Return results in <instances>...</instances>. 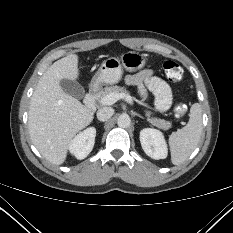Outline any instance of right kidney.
<instances>
[{
	"mask_svg": "<svg viewBox=\"0 0 233 233\" xmlns=\"http://www.w3.org/2000/svg\"><path fill=\"white\" fill-rule=\"evenodd\" d=\"M96 129L89 127L77 134L69 145V150L77 159L86 158L92 151L95 143Z\"/></svg>",
	"mask_w": 233,
	"mask_h": 233,
	"instance_id": "obj_1",
	"label": "right kidney"
}]
</instances>
